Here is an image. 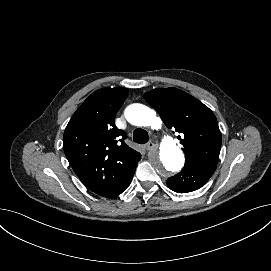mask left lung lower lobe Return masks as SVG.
<instances>
[{"label":"left lung lower lobe","instance_id":"left-lung-lower-lobe-1","mask_svg":"<svg viewBox=\"0 0 271 271\" xmlns=\"http://www.w3.org/2000/svg\"><path fill=\"white\" fill-rule=\"evenodd\" d=\"M212 164L201 167L184 166L181 172L168 178L167 186L177 193H188L201 188L213 175Z\"/></svg>","mask_w":271,"mask_h":271}]
</instances>
